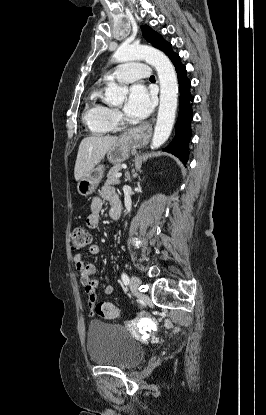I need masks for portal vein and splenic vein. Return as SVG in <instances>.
I'll use <instances>...</instances> for the list:
<instances>
[{
  "label": "portal vein and splenic vein",
  "instance_id": "obj_1",
  "mask_svg": "<svg viewBox=\"0 0 266 415\" xmlns=\"http://www.w3.org/2000/svg\"><path fill=\"white\" fill-rule=\"evenodd\" d=\"M122 176V173H117L116 175H115V177L116 178H120Z\"/></svg>",
  "mask_w": 266,
  "mask_h": 415
}]
</instances>
